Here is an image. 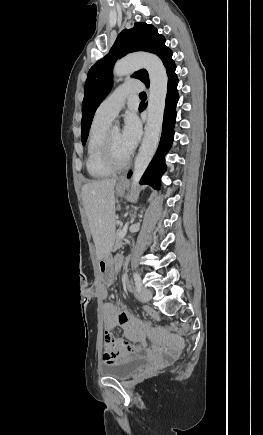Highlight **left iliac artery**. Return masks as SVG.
Instances as JSON below:
<instances>
[{"mask_svg":"<svg viewBox=\"0 0 263 435\" xmlns=\"http://www.w3.org/2000/svg\"><path fill=\"white\" fill-rule=\"evenodd\" d=\"M133 277H134V282H135V286H136V292L139 293L141 290V287H142L141 277L138 273H134Z\"/></svg>","mask_w":263,"mask_h":435,"instance_id":"left-iliac-artery-1","label":"left iliac artery"}]
</instances>
